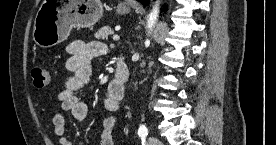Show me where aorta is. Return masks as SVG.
Masks as SVG:
<instances>
[{
  "mask_svg": "<svg viewBox=\"0 0 276 145\" xmlns=\"http://www.w3.org/2000/svg\"><path fill=\"white\" fill-rule=\"evenodd\" d=\"M158 13H159V1L157 0L155 2V5L152 9V11L150 12L149 16H148V22H147V27L149 29H152V27H154L157 18H158Z\"/></svg>",
  "mask_w": 276,
  "mask_h": 145,
  "instance_id": "762f6f07",
  "label": "aorta"
}]
</instances>
